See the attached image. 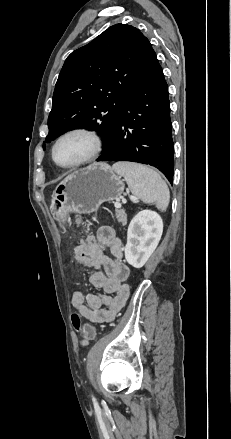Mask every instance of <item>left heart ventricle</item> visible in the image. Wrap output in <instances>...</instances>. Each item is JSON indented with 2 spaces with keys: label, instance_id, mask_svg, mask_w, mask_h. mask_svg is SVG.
<instances>
[{
  "label": "left heart ventricle",
  "instance_id": "b2bd125f",
  "mask_svg": "<svg viewBox=\"0 0 231 439\" xmlns=\"http://www.w3.org/2000/svg\"><path fill=\"white\" fill-rule=\"evenodd\" d=\"M92 149L93 142L88 136L74 134L60 141L56 148V158L59 163L68 165L83 159Z\"/></svg>",
  "mask_w": 231,
  "mask_h": 439
}]
</instances>
